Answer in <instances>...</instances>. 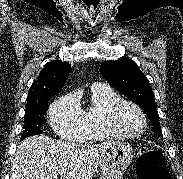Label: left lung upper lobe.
<instances>
[{"label": "left lung upper lobe", "mask_w": 183, "mask_h": 179, "mask_svg": "<svg viewBox=\"0 0 183 179\" xmlns=\"http://www.w3.org/2000/svg\"><path fill=\"white\" fill-rule=\"evenodd\" d=\"M101 73L119 92L145 108V113L150 119L154 131L162 135L155 96L149 80L139 70L137 64L128 58L105 61L101 65Z\"/></svg>", "instance_id": "5c2ea615"}]
</instances>
